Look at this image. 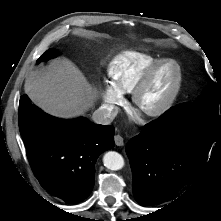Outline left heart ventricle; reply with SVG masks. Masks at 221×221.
<instances>
[{"mask_svg": "<svg viewBox=\"0 0 221 221\" xmlns=\"http://www.w3.org/2000/svg\"><path fill=\"white\" fill-rule=\"evenodd\" d=\"M175 80V70L170 64L156 72L154 79L142 97L145 107H152L162 102L171 92Z\"/></svg>", "mask_w": 221, "mask_h": 221, "instance_id": "obj_1", "label": "left heart ventricle"}]
</instances>
